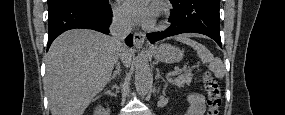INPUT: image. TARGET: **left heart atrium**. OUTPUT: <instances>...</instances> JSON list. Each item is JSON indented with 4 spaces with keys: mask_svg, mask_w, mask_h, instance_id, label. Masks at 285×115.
I'll return each mask as SVG.
<instances>
[{
    "mask_svg": "<svg viewBox=\"0 0 285 115\" xmlns=\"http://www.w3.org/2000/svg\"><path fill=\"white\" fill-rule=\"evenodd\" d=\"M122 7L135 21L150 25L155 18V8L149 0H122Z\"/></svg>",
    "mask_w": 285,
    "mask_h": 115,
    "instance_id": "39dd6f15",
    "label": "left heart atrium"
}]
</instances>
